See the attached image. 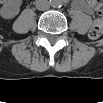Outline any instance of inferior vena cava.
Segmentation results:
<instances>
[{
  "instance_id": "inferior-vena-cava-1",
  "label": "inferior vena cava",
  "mask_w": 103,
  "mask_h": 103,
  "mask_svg": "<svg viewBox=\"0 0 103 103\" xmlns=\"http://www.w3.org/2000/svg\"><path fill=\"white\" fill-rule=\"evenodd\" d=\"M36 8L40 11H45L50 8V3L47 0H38L36 2Z\"/></svg>"
}]
</instances>
